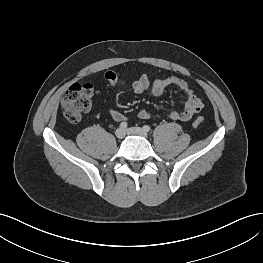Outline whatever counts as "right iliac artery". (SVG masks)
<instances>
[{"label":"right iliac artery","instance_id":"right-iliac-artery-1","mask_svg":"<svg viewBox=\"0 0 263 263\" xmlns=\"http://www.w3.org/2000/svg\"><path fill=\"white\" fill-rule=\"evenodd\" d=\"M128 127V124L126 123V122H122L121 124H120V128L121 129H126Z\"/></svg>","mask_w":263,"mask_h":263}]
</instances>
